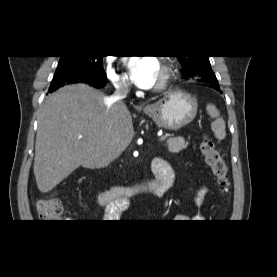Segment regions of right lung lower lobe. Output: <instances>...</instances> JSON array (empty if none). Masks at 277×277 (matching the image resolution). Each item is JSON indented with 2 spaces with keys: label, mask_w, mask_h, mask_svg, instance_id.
<instances>
[{
  "label": "right lung lower lobe",
  "mask_w": 277,
  "mask_h": 277,
  "mask_svg": "<svg viewBox=\"0 0 277 277\" xmlns=\"http://www.w3.org/2000/svg\"><path fill=\"white\" fill-rule=\"evenodd\" d=\"M83 82L92 84L93 86H95V87H97V88H100V87L103 86V83L92 82V81H89V80H87V79L83 80Z\"/></svg>",
  "instance_id": "98d812e1"
}]
</instances>
